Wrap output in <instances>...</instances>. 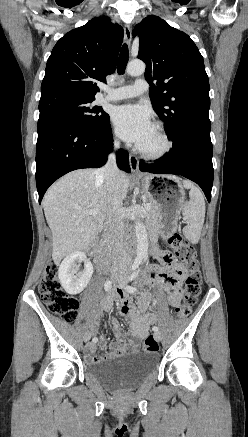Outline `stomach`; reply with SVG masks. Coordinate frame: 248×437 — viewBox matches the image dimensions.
Here are the masks:
<instances>
[{
	"mask_svg": "<svg viewBox=\"0 0 248 437\" xmlns=\"http://www.w3.org/2000/svg\"><path fill=\"white\" fill-rule=\"evenodd\" d=\"M179 179L169 175L146 174L141 178L143 192L146 198L154 203L161 212L159 229L161 234L173 233L184 206L185 194L173 184Z\"/></svg>",
	"mask_w": 248,
	"mask_h": 437,
	"instance_id": "0dacf381",
	"label": "stomach"
}]
</instances>
